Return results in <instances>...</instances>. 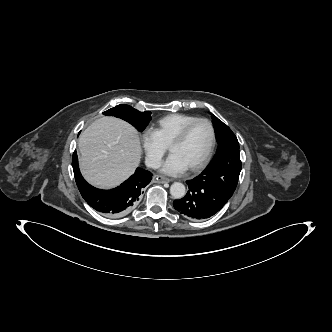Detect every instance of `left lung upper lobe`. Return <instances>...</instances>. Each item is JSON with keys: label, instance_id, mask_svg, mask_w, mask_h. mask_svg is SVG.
Listing matches in <instances>:
<instances>
[{"label": "left lung upper lobe", "instance_id": "left-lung-upper-lobe-1", "mask_svg": "<svg viewBox=\"0 0 332 332\" xmlns=\"http://www.w3.org/2000/svg\"><path fill=\"white\" fill-rule=\"evenodd\" d=\"M213 124L219 148L213 160L199 176L209 186L231 198L241 171L239 143L231 129L214 115Z\"/></svg>", "mask_w": 332, "mask_h": 332}]
</instances>
